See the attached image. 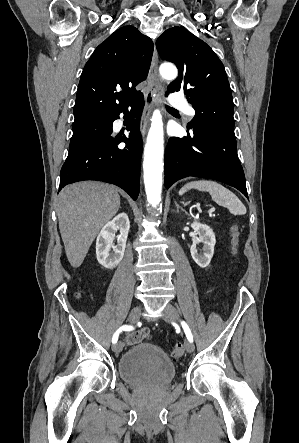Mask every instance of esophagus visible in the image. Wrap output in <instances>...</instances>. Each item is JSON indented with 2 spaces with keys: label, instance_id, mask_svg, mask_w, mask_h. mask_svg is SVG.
<instances>
[{
  "label": "esophagus",
  "instance_id": "esophagus-1",
  "mask_svg": "<svg viewBox=\"0 0 299 443\" xmlns=\"http://www.w3.org/2000/svg\"><path fill=\"white\" fill-rule=\"evenodd\" d=\"M157 70L158 53L156 47H154L151 67L148 75V87L145 92V106L140 123V132L143 138L146 134L152 109L158 104L163 94V87L158 81Z\"/></svg>",
  "mask_w": 299,
  "mask_h": 443
}]
</instances>
